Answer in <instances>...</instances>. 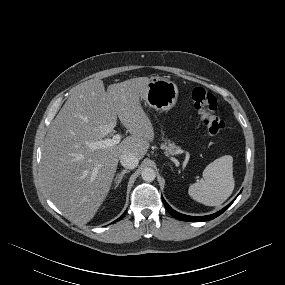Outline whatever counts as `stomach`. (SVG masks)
Here are the masks:
<instances>
[{"mask_svg":"<svg viewBox=\"0 0 285 285\" xmlns=\"http://www.w3.org/2000/svg\"><path fill=\"white\" fill-rule=\"evenodd\" d=\"M179 91L177 85L164 77H151L140 98L157 111H168L175 106Z\"/></svg>","mask_w":285,"mask_h":285,"instance_id":"0dacf381","label":"stomach"}]
</instances>
